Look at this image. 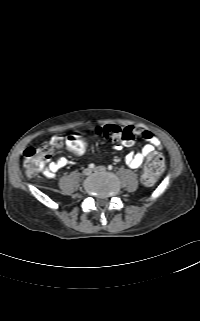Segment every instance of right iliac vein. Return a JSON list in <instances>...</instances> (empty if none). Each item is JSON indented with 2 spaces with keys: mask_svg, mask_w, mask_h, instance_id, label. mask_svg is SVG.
<instances>
[{
  "mask_svg": "<svg viewBox=\"0 0 200 321\" xmlns=\"http://www.w3.org/2000/svg\"><path fill=\"white\" fill-rule=\"evenodd\" d=\"M91 172H92V171H91L90 168H85V169L83 170V174L86 175V176L90 175Z\"/></svg>",
  "mask_w": 200,
  "mask_h": 321,
  "instance_id": "obj_1",
  "label": "right iliac vein"
}]
</instances>
